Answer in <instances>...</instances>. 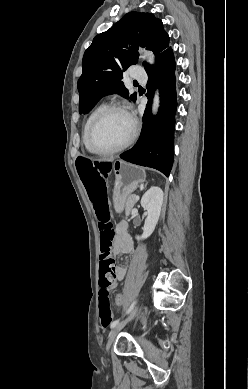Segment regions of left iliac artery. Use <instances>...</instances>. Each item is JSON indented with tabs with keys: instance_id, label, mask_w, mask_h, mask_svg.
<instances>
[{
	"instance_id": "1",
	"label": "left iliac artery",
	"mask_w": 248,
	"mask_h": 389,
	"mask_svg": "<svg viewBox=\"0 0 248 389\" xmlns=\"http://www.w3.org/2000/svg\"><path fill=\"white\" fill-rule=\"evenodd\" d=\"M135 304H136V301H134V302L130 305V307L128 308L126 314H129V313L133 310ZM118 323H119V319L113 321V322L111 323V326H110V327H111V328H114L115 326L118 325Z\"/></svg>"
}]
</instances>
